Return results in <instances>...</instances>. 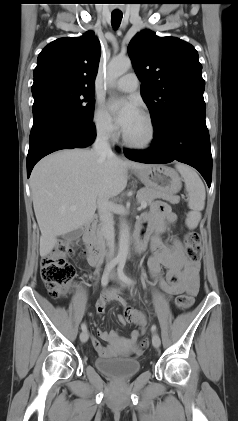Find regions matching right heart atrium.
Here are the masks:
<instances>
[{"mask_svg":"<svg viewBox=\"0 0 238 421\" xmlns=\"http://www.w3.org/2000/svg\"><path fill=\"white\" fill-rule=\"evenodd\" d=\"M93 123L96 132L102 137L110 139L116 137L118 133L117 126L108 112L100 104H98L94 110Z\"/></svg>","mask_w":238,"mask_h":421,"instance_id":"1","label":"right heart atrium"}]
</instances>
